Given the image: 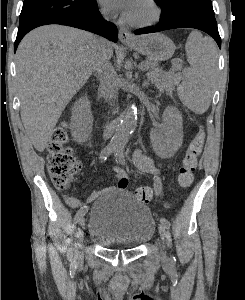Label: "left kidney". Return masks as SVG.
I'll use <instances>...</instances> for the list:
<instances>
[{
    "label": "left kidney",
    "mask_w": 245,
    "mask_h": 300,
    "mask_svg": "<svg viewBox=\"0 0 245 300\" xmlns=\"http://www.w3.org/2000/svg\"><path fill=\"white\" fill-rule=\"evenodd\" d=\"M163 123L151 132L154 150L162 156H172L183 141L182 115L178 109L168 106L163 113Z\"/></svg>",
    "instance_id": "left-kidney-1"
}]
</instances>
